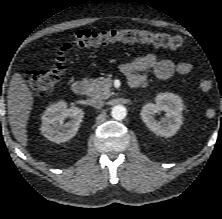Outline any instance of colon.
<instances>
[{
    "mask_svg": "<svg viewBox=\"0 0 222 219\" xmlns=\"http://www.w3.org/2000/svg\"><path fill=\"white\" fill-rule=\"evenodd\" d=\"M113 42H143L170 49H180L184 45L181 36L153 33L140 29L108 28L101 30L83 29L76 31L67 40H62L53 50L52 65L46 70H31L25 75L27 84L36 94L53 90L61 81L66 70V53L76 47H95ZM203 93L213 88V81L204 78L199 81Z\"/></svg>",
    "mask_w": 222,
    "mask_h": 219,
    "instance_id": "5ec220e1",
    "label": "colon"
}]
</instances>
